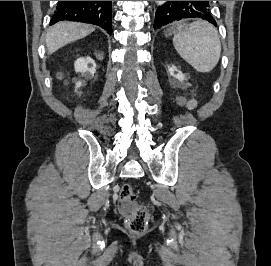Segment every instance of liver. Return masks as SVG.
Wrapping results in <instances>:
<instances>
[{
	"mask_svg": "<svg viewBox=\"0 0 271 266\" xmlns=\"http://www.w3.org/2000/svg\"><path fill=\"white\" fill-rule=\"evenodd\" d=\"M94 30L95 28L89 24L67 21L58 22L47 33L46 47L48 53L52 54L59 48L86 37Z\"/></svg>",
	"mask_w": 271,
	"mask_h": 266,
	"instance_id": "obj_1",
	"label": "liver"
}]
</instances>
